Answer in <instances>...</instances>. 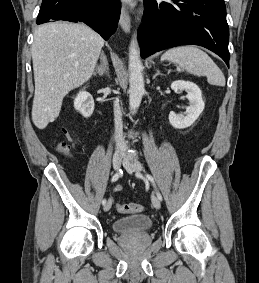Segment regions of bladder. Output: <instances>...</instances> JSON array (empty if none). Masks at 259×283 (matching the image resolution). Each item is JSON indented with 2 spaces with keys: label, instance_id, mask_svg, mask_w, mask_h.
<instances>
[{
  "label": "bladder",
  "instance_id": "obj_1",
  "mask_svg": "<svg viewBox=\"0 0 259 283\" xmlns=\"http://www.w3.org/2000/svg\"><path fill=\"white\" fill-rule=\"evenodd\" d=\"M152 225V220L146 215H131L114 221L112 228L116 233H141Z\"/></svg>",
  "mask_w": 259,
  "mask_h": 283
}]
</instances>
